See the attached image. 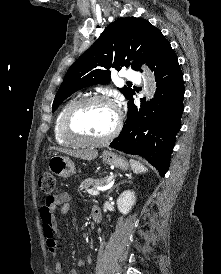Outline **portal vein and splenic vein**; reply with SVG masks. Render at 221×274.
Returning <instances> with one entry per match:
<instances>
[{
    "label": "portal vein and splenic vein",
    "instance_id": "18ae733b",
    "mask_svg": "<svg viewBox=\"0 0 221 274\" xmlns=\"http://www.w3.org/2000/svg\"><path fill=\"white\" fill-rule=\"evenodd\" d=\"M114 176H111L108 181H107V186L105 187H97L95 189H89L87 190V192L91 195H98L100 193V191H103L105 189H107V187L109 186V184L111 183L112 179H113Z\"/></svg>",
    "mask_w": 221,
    "mask_h": 274
}]
</instances>
